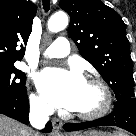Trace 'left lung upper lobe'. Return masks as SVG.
<instances>
[{
  "mask_svg": "<svg viewBox=\"0 0 136 136\" xmlns=\"http://www.w3.org/2000/svg\"><path fill=\"white\" fill-rule=\"evenodd\" d=\"M70 16L69 34L80 54L113 89L116 99L135 97L132 60L125 24L100 0H60Z\"/></svg>",
  "mask_w": 136,
  "mask_h": 136,
  "instance_id": "1",
  "label": "left lung upper lobe"
}]
</instances>
